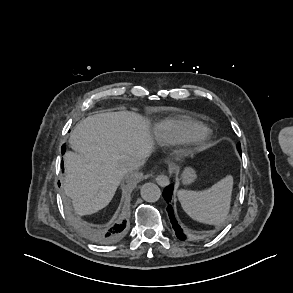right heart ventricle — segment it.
Segmentation results:
<instances>
[{
	"label": "right heart ventricle",
	"mask_w": 293,
	"mask_h": 293,
	"mask_svg": "<svg viewBox=\"0 0 293 293\" xmlns=\"http://www.w3.org/2000/svg\"><path fill=\"white\" fill-rule=\"evenodd\" d=\"M200 124L188 116H171L159 120L154 135L159 144L170 146L186 141L191 132Z\"/></svg>",
	"instance_id": "obj_1"
}]
</instances>
